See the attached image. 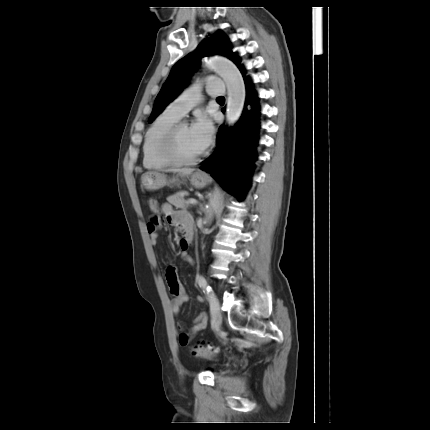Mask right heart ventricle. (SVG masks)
<instances>
[{
  "label": "right heart ventricle",
  "mask_w": 430,
  "mask_h": 430,
  "mask_svg": "<svg viewBox=\"0 0 430 430\" xmlns=\"http://www.w3.org/2000/svg\"><path fill=\"white\" fill-rule=\"evenodd\" d=\"M180 117L168 109L156 117L148 127L142 145V163L146 169H163L171 166L159 152L164 134L179 121Z\"/></svg>",
  "instance_id": "obj_1"
}]
</instances>
